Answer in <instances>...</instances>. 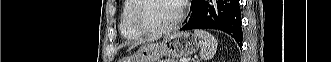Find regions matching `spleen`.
Wrapping results in <instances>:
<instances>
[{"mask_svg": "<svg viewBox=\"0 0 331 62\" xmlns=\"http://www.w3.org/2000/svg\"><path fill=\"white\" fill-rule=\"evenodd\" d=\"M194 34L201 39V58L203 60L213 58L217 50V40L214 36L203 30H195Z\"/></svg>", "mask_w": 331, "mask_h": 62, "instance_id": "spleen-1", "label": "spleen"}]
</instances>
